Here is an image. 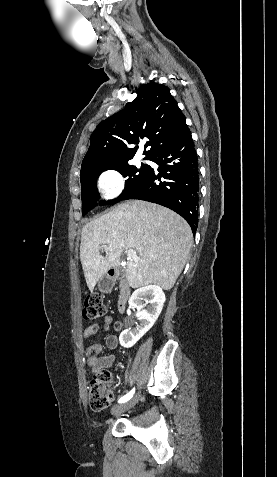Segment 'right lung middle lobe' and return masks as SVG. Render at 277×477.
<instances>
[{"instance_id": "right-lung-middle-lobe-1", "label": "right lung middle lobe", "mask_w": 277, "mask_h": 477, "mask_svg": "<svg viewBox=\"0 0 277 477\" xmlns=\"http://www.w3.org/2000/svg\"><path fill=\"white\" fill-rule=\"evenodd\" d=\"M114 169L119 171L124 177H128L125 183V188L122 194L107 202L100 201V205L114 204L123 199L130 191L135 189L147 175L150 166L142 164L140 168L129 165L128 163L118 164L107 167H89L81 170V193H82V215H86L93 209L99 200V193L97 191V178L105 170Z\"/></svg>"}]
</instances>
